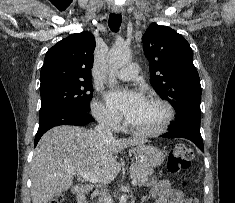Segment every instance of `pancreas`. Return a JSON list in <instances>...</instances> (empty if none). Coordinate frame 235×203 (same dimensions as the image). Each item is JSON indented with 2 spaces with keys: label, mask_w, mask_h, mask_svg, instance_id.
<instances>
[{
  "label": "pancreas",
  "mask_w": 235,
  "mask_h": 203,
  "mask_svg": "<svg viewBox=\"0 0 235 203\" xmlns=\"http://www.w3.org/2000/svg\"><path fill=\"white\" fill-rule=\"evenodd\" d=\"M129 172L130 175L137 180L139 185H143L148 181V177L154 173V170L140 164H133Z\"/></svg>",
  "instance_id": "pancreas-1"
}]
</instances>
